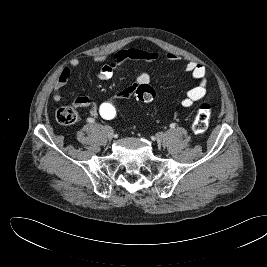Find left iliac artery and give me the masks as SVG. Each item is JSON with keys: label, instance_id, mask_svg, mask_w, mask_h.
<instances>
[{"label": "left iliac artery", "instance_id": "1", "mask_svg": "<svg viewBox=\"0 0 267 267\" xmlns=\"http://www.w3.org/2000/svg\"><path fill=\"white\" fill-rule=\"evenodd\" d=\"M170 127L175 128V124L174 123L170 124Z\"/></svg>", "mask_w": 267, "mask_h": 267}]
</instances>
